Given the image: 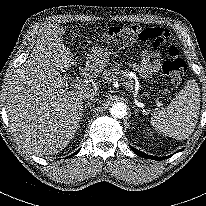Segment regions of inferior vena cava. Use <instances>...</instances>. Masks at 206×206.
I'll use <instances>...</instances> for the list:
<instances>
[{
  "label": "inferior vena cava",
  "instance_id": "obj_1",
  "mask_svg": "<svg viewBox=\"0 0 206 206\" xmlns=\"http://www.w3.org/2000/svg\"><path fill=\"white\" fill-rule=\"evenodd\" d=\"M84 99H88L92 102H100V99L96 97L95 93L92 92H86L84 93Z\"/></svg>",
  "mask_w": 206,
  "mask_h": 206
}]
</instances>
